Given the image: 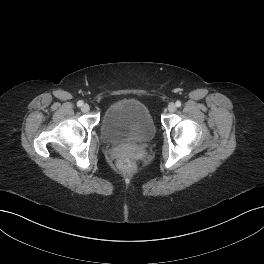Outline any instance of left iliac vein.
Returning a JSON list of instances; mask_svg holds the SVG:
<instances>
[{
    "mask_svg": "<svg viewBox=\"0 0 264 264\" xmlns=\"http://www.w3.org/2000/svg\"><path fill=\"white\" fill-rule=\"evenodd\" d=\"M168 111L171 113L175 112L176 111V105L174 103H170L168 105Z\"/></svg>",
    "mask_w": 264,
    "mask_h": 264,
    "instance_id": "1",
    "label": "left iliac vein"
}]
</instances>
